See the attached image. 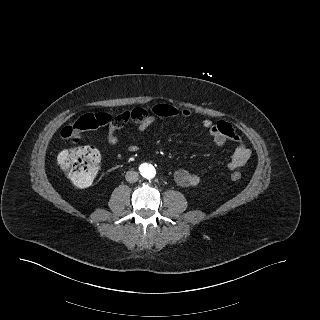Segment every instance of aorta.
<instances>
[{
    "label": "aorta",
    "instance_id": "1",
    "mask_svg": "<svg viewBox=\"0 0 320 320\" xmlns=\"http://www.w3.org/2000/svg\"><path fill=\"white\" fill-rule=\"evenodd\" d=\"M155 174H156V170L152 165H146L142 170L143 177L147 179L154 178Z\"/></svg>",
    "mask_w": 320,
    "mask_h": 320
}]
</instances>
